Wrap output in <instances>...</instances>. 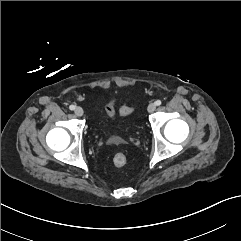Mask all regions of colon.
<instances>
[{"label": "colon", "mask_w": 241, "mask_h": 241, "mask_svg": "<svg viewBox=\"0 0 241 241\" xmlns=\"http://www.w3.org/2000/svg\"><path fill=\"white\" fill-rule=\"evenodd\" d=\"M111 111H113V108H109ZM132 112V109L130 107H124L120 110V114L122 116H127ZM113 163L117 167H123L127 163V157L123 153H117L113 158Z\"/></svg>", "instance_id": "obj_1"}]
</instances>
